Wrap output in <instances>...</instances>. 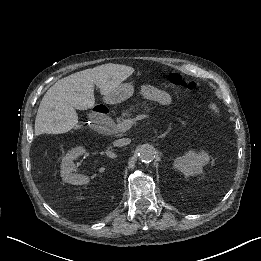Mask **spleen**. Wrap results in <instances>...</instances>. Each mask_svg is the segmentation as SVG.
<instances>
[{
  "mask_svg": "<svg viewBox=\"0 0 261 261\" xmlns=\"http://www.w3.org/2000/svg\"><path fill=\"white\" fill-rule=\"evenodd\" d=\"M211 108H212V109H214V110H215V112H218V109L216 108V106H215V105H212V106H211Z\"/></svg>",
  "mask_w": 261,
  "mask_h": 261,
  "instance_id": "spleen-1",
  "label": "spleen"
}]
</instances>
